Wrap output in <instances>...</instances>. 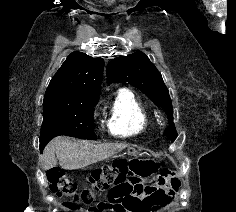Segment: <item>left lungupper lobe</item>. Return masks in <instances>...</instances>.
<instances>
[{"instance_id": "left-lung-upper-lobe-1", "label": "left lung upper lobe", "mask_w": 236, "mask_h": 212, "mask_svg": "<svg viewBox=\"0 0 236 212\" xmlns=\"http://www.w3.org/2000/svg\"><path fill=\"white\" fill-rule=\"evenodd\" d=\"M108 83H129L142 91L167 114L170 127L164 135L173 142L177 132L173 124V108L168 89L161 73L146 54L138 52L113 59L107 66Z\"/></svg>"}]
</instances>
